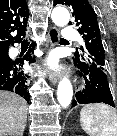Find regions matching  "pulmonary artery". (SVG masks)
I'll return each mask as SVG.
<instances>
[{
	"label": "pulmonary artery",
	"mask_w": 117,
	"mask_h": 136,
	"mask_svg": "<svg viewBox=\"0 0 117 136\" xmlns=\"http://www.w3.org/2000/svg\"><path fill=\"white\" fill-rule=\"evenodd\" d=\"M63 38L64 39H70V40H80V37L78 35V32L70 27H65L63 32H62Z\"/></svg>",
	"instance_id": "1"
}]
</instances>
